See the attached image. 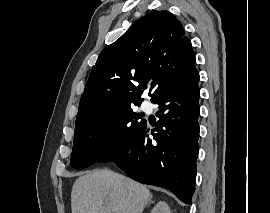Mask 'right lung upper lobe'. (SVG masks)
Masks as SVG:
<instances>
[{
    "label": "right lung upper lobe",
    "mask_w": 270,
    "mask_h": 213,
    "mask_svg": "<svg viewBox=\"0 0 270 213\" xmlns=\"http://www.w3.org/2000/svg\"><path fill=\"white\" fill-rule=\"evenodd\" d=\"M194 64L181 23L168 11L153 10L100 53L80 99L76 123L141 103L142 89L149 82L155 87L149 92L152 101L184 78Z\"/></svg>",
    "instance_id": "right-lung-upper-lobe-1"
}]
</instances>
